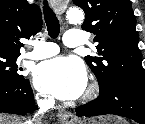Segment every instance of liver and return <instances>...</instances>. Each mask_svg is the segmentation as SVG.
Masks as SVG:
<instances>
[{"label":"liver","instance_id":"6515ba94","mask_svg":"<svg viewBox=\"0 0 145 124\" xmlns=\"http://www.w3.org/2000/svg\"><path fill=\"white\" fill-rule=\"evenodd\" d=\"M0 124H26V123H24L20 117L0 114Z\"/></svg>","mask_w":145,"mask_h":124}]
</instances>
